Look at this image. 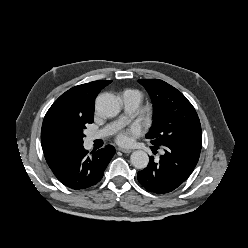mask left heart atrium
<instances>
[{"label":"left heart atrium","instance_id":"1","mask_svg":"<svg viewBox=\"0 0 248 248\" xmlns=\"http://www.w3.org/2000/svg\"><path fill=\"white\" fill-rule=\"evenodd\" d=\"M140 132L141 129L138 126H132L129 129L120 131L116 137V141L123 146L129 145L132 139L138 136Z\"/></svg>","mask_w":248,"mask_h":248}]
</instances>
